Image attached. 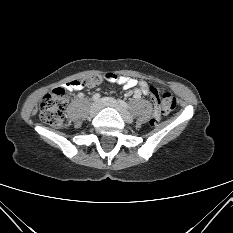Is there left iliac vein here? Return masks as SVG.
Returning a JSON list of instances; mask_svg holds the SVG:
<instances>
[{"label": "left iliac vein", "instance_id": "4c4485c4", "mask_svg": "<svg viewBox=\"0 0 233 233\" xmlns=\"http://www.w3.org/2000/svg\"><path fill=\"white\" fill-rule=\"evenodd\" d=\"M101 102L104 106L116 109L126 123L133 122V117L130 115V113L125 108H123L114 98L105 97Z\"/></svg>", "mask_w": 233, "mask_h": 233}]
</instances>
